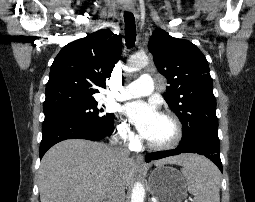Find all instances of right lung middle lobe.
Instances as JSON below:
<instances>
[{
    "instance_id": "obj_1",
    "label": "right lung middle lobe",
    "mask_w": 255,
    "mask_h": 202,
    "mask_svg": "<svg viewBox=\"0 0 255 202\" xmlns=\"http://www.w3.org/2000/svg\"><path fill=\"white\" fill-rule=\"evenodd\" d=\"M103 109L97 107V102H91L45 114L44 122L55 120H78L89 124L97 130H110L114 123V114H102Z\"/></svg>"
}]
</instances>
